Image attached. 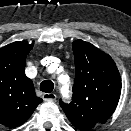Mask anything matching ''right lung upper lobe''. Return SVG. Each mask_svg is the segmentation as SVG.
<instances>
[{"label": "right lung upper lobe", "mask_w": 131, "mask_h": 131, "mask_svg": "<svg viewBox=\"0 0 131 131\" xmlns=\"http://www.w3.org/2000/svg\"><path fill=\"white\" fill-rule=\"evenodd\" d=\"M32 48L24 42L0 48V123L10 128L27 121L42 102L25 75L26 56Z\"/></svg>", "instance_id": "1"}]
</instances>
